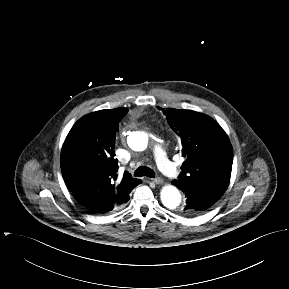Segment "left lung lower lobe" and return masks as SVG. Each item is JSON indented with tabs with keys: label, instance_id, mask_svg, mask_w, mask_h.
<instances>
[{
	"label": "left lung lower lobe",
	"instance_id": "1",
	"mask_svg": "<svg viewBox=\"0 0 289 289\" xmlns=\"http://www.w3.org/2000/svg\"><path fill=\"white\" fill-rule=\"evenodd\" d=\"M176 186L186 195V205L180 209V213L186 216H195L203 213L219 199L215 195L208 192L190 190L179 185Z\"/></svg>",
	"mask_w": 289,
	"mask_h": 289
}]
</instances>
